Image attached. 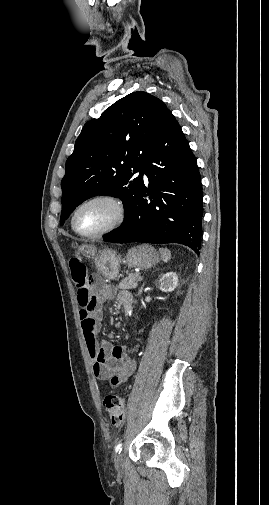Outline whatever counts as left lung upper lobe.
Listing matches in <instances>:
<instances>
[{"instance_id":"left-lung-upper-lobe-1","label":"left lung upper lobe","mask_w":269,"mask_h":505,"mask_svg":"<svg viewBox=\"0 0 269 505\" xmlns=\"http://www.w3.org/2000/svg\"><path fill=\"white\" fill-rule=\"evenodd\" d=\"M169 112L157 97L133 92L87 122L66 161L61 181V225L74 209L96 195L119 197L129 219L141 184L151 137Z\"/></svg>"}]
</instances>
